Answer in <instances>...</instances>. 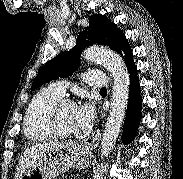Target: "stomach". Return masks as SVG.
Returning <instances> with one entry per match:
<instances>
[{"label": "stomach", "instance_id": "1", "mask_svg": "<svg viewBox=\"0 0 183 179\" xmlns=\"http://www.w3.org/2000/svg\"><path fill=\"white\" fill-rule=\"evenodd\" d=\"M91 157L89 148L76 143H64L32 164L21 179H54L69 168L84 169L90 164Z\"/></svg>", "mask_w": 183, "mask_h": 179}]
</instances>
